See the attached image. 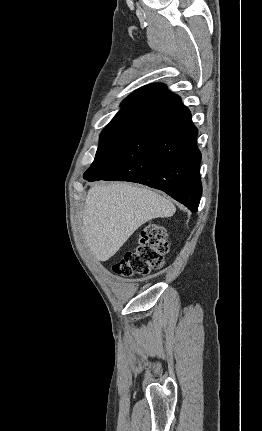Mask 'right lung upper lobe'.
Wrapping results in <instances>:
<instances>
[{
	"mask_svg": "<svg viewBox=\"0 0 262 431\" xmlns=\"http://www.w3.org/2000/svg\"><path fill=\"white\" fill-rule=\"evenodd\" d=\"M179 96L163 84H150L131 93L122 103V109L108 125L132 126L150 116L180 104Z\"/></svg>",
	"mask_w": 262,
	"mask_h": 431,
	"instance_id": "1",
	"label": "right lung upper lobe"
}]
</instances>
